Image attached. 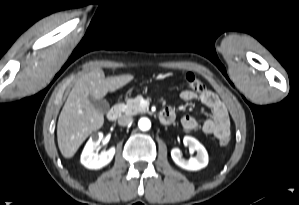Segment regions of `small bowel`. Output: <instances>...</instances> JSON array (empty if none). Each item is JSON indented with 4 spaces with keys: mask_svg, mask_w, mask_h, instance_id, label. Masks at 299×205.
<instances>
[{
    "mask_svg": "<svg viewBox=\"0 0 299 205\" xmlns=\"http://www.w3.org/2000/svg\"><path fill=\"white\" fill-rule=\"evenodd\" d=\"M180 97L184 101L197 100L201 102L211 110L212 114L211 118L204 120L202 123L190 115H185L181 119L182 127L185 130L192 131L199 128L204 134L213 135L217 139L230 135V122L227 110L214 92L205 90L198 94L187 89L181 92ZM162 112L170 113L174 119L175 113L172 108L166 107Z\"/></svg>",
    "mask_w": 299,
    "mask_h": 205,
    "instance_id": "1",
    "label": "small bowel"
}]
</instances>
